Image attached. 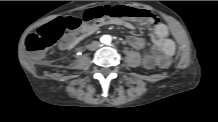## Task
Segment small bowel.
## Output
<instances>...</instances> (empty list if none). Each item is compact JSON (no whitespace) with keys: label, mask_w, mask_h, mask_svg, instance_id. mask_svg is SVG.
<instances>
[{"label":"small bowel","mask_w":218,"mask_h":122,"mask_svg":"<svg viewBox=\"0 0 218 122\" xmlns=\"http://www.w3.org/2000/svg\"><path fill=\"white\" fill-rule=\"evenodd\" d=\"M107 23L121 25L129 29L135 28L136 18H112L106 21ZM99 23H84L81 22L77 32H72L65 36L61 47L63 50L69 51L73 49L81 40V36H88L99 29ZM153 40L155 46L153 48L152 54H147L143 58V63L147 68L153 67L155 64L158 63V60L162 58V54L171 55L174 51V43L169 38L168 29L163 24H158L153 30ZM128 44L136 49L142 47L143 42L142 40L134 35H130L127 37Z\"/></svg>","instance_id":"1"}]
</instances>
